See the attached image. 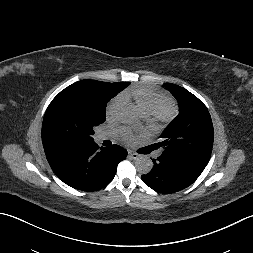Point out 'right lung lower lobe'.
Here are the masks:
<instances>
[{"label": "right lung lower lobe", "instance_id": "right-lung-lower-lobe-1", "mask_svg": "<svg viewBox=\"0 0 253 253\" xmlns=\"http://www.w3.org/2000/svg\"><path fill=\"white\" fill-rule=\"evenodd\" d=\"M54 173L67 185L83 191H96L109 184L117 165L127 156L119 145L98 150L96 143L52 147L45 150Z\"/></svg>", "mask_w": 253, "mask_h": 253}]
</instances>
